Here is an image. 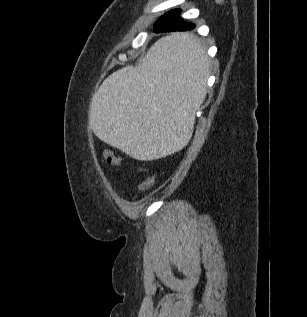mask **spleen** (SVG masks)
<instances>
[{"instance_id":"obj_1","label":"spleen","mask_w":307,"mask_h":317,"mask_svg":"<svg viewBox=\"0 0 307 317\" xmlns=\"http://www.w3.org/2000/svg\"><path fill=\"white\" fill-rule=\"evenodd\" d=\"M171 34L150 49L148 62L114 72L94 97V133L135 160L177 155L206 95V42L191 29Z\"/></svg>"}]
</instances>
